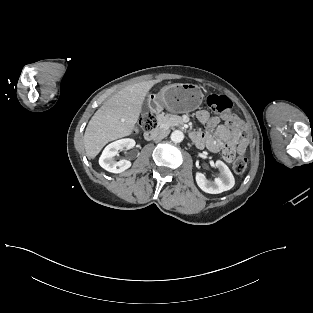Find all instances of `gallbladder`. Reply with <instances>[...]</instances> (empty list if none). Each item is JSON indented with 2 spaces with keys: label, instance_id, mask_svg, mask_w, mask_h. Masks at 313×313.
<instances>
[{
  "label": "gallbladder",
  "instance_id": "gallbladder-1",
  "mask_svg": "<svg viewBox=\"0 0 313 313\" xmlns=\"http://www.w3.org/2000/svg\"><path fill=\"white\" fill-rule=\"evenodd\" d=\"M144 109H146V110L148 109L146 102L144 103Z\"/></svg>",
  "mask_w": 313,
  "mask_h": 313
}]
</instances>
